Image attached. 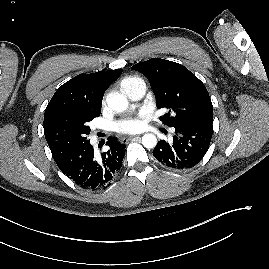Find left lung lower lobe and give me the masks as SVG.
Instances as JSON below:
<instances>
[{"label":"left lung lower lobe","instance_id":"left-lung-lower-lobe-1","mask_svg":"<svg viewBox=\"0 0 269 269\" xmlns=\"http://www.w3.org/2000/svg\"><path fill=\"white\" fill-rule=\"evenodd\" d=\"M171 143L161 140L153 150L154 157L176 170L196 166L209 149L213 124L194 123L175 127Z\"/></svg>","mask_w":269,"mask_h":269}]
</instances>
